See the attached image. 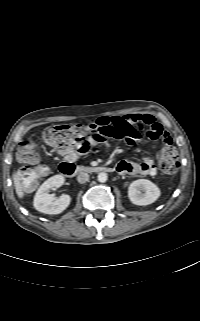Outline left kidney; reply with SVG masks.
I'll return each instance as SVG.
<instances>
[{"label": "left kidney", "instance_id": "1", "mask_svg": "<svg viewBox=\"0 0 200 321\" xmlns=\"http://www.w3.org/2000/svg\"><path fill=\"white\" fill-rule=\"evenodd\" d=\"M160 189L150 180L138 179L133 181L128 188L130 201L139 206L154 203L160 197Z\"/></svg>", "mask_w": 200, "mask_h": 321}]
</instances>
